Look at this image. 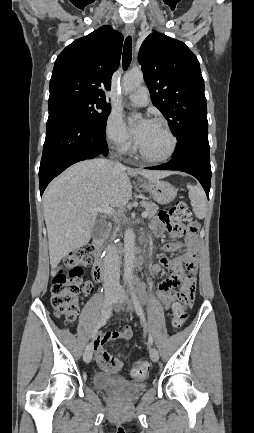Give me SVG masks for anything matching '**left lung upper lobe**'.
I'll use <instances>...</instances> for the list:
<instances>
[{
	"instance_id": "obj_1",
	"label": "left lung upper lobe",
	"mask_w": 254,
	"mask_h": 433,
	"mask_svg": "<svg viewBox=\"0 0 254 433\" xmlns=\"http://www.w3.org/2000/svg\"><path fill=\"white\" fill-rule=\"evenodd\" d=\"M138 61L151 100L167 119L178 144L193 134L208 135L204 80L197 57L181 41L151 33Z\"/></svg>"
}]
</instances>
